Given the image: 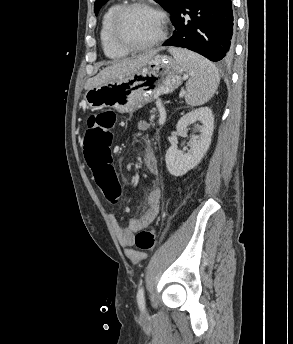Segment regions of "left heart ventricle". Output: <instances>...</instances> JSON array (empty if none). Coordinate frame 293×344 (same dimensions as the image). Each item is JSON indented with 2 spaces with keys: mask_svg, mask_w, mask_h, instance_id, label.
<instances>
[{
  "mask_svg": "<svg viewBox=\"0 0 293 344\" xmlns=\"http://www.w3.org/2000/svg\"><path fill=\"white\" fill-rule=\"evenodd\" d=\"M161 30V23L154 13L137 8L129 11L122 22V33L134 44H144L156 38Z\"/></svg>",
  "mask_w": 293,
  "mask_h": 344,
  "instance_id": "b2bd125f",
  "label": "left heart ventricle"
}]
</instances>
